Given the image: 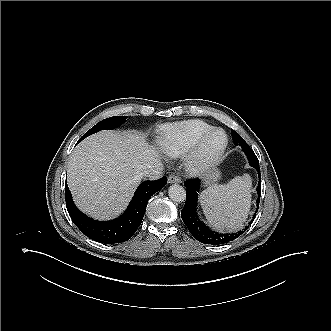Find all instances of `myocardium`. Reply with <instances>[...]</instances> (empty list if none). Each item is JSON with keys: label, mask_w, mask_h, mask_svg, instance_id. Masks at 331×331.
Returning a JSON list of instances; mask_svg holds the SVG:
<instances>
[{"label": "myocardium", "mask_w": 331, "mask_h": 331, "mask_svg": "<svg viewBox=\"0 0 331 331\" xmlns=\"http://www.w3.org/2000/svg\"><path fill=\"white\" fill-rule=\"evenodd\" d=\"M215 133H221L223 135V143L215 152L209 153L206 150V144ZM227 147L228 136L225 131L220 128H212L199 137L195 144L188 150L186 154V166L193 173L208 170L221 161Z\"/></svg>", "instance_id": "myocardium-1"}]
</instances>
